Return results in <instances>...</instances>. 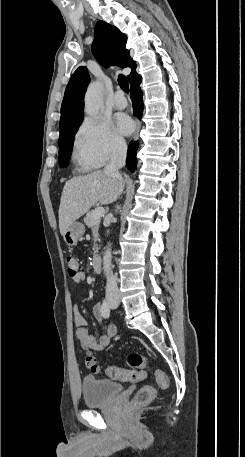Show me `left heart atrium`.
<instances>
[{
	"instance_id": "obj_1",
	"label": "left heart atrium",
	"mask_w": 245,
	"mask_h": 457,
	"mask_svg": "<svg viewBox=\"0 0 245 457\" xmlns=\"http://www.w3.org/2000/svg\"><path fill=\"white\" fill-rule=\"evenodd\" d=\"M116 125H117L118 131L123 135L130 134L134 127L133 122L125 115L117 116Z\"/></svg>"
}]
</instances>
